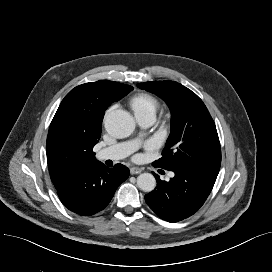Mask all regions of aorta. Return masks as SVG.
Masks as SVG:
<instances>
[{"label": "aorta", "instance_id": "1", "mask_svg": "<svg viewBox=\"0 0 272 272\" xmlns=\"http://www.w3.org/2000/svg\"><path fill=\"white\" fill-rule=\"evenodd\" d=\"M107 133L115 138H126L135 129V121L126 111L114 110L104 119ZM137 186L144 192H151L156 187V179L151 173H142L137 177Z\"/></svg>", "mask_w": 272, "mask_h": 272}]
</instances>
